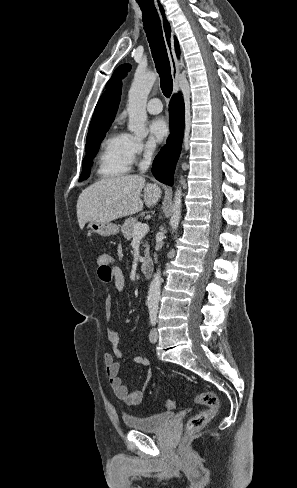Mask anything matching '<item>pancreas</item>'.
I'll return each instance as SVG.
<instances>
[{"instance_id": "cf45deb5", "label": "pancreas", "mask_w": 297, "mask_h": 488, "mask_svg": "<svg viewBox=\"0 0 297 488\" xmlns=\"http://www.w3.org/2000/svg\"><path fill=\"white\" fill-rule=\"evenodd\" d=\"M138 221L135 218H127L124 222V224L121 227V231L124 235V237L127 240H130L133 237L134 233V225L137 224ZM145 257H148L149 255V247L147 244H145Z\"/></svg>"}]
</instances>
